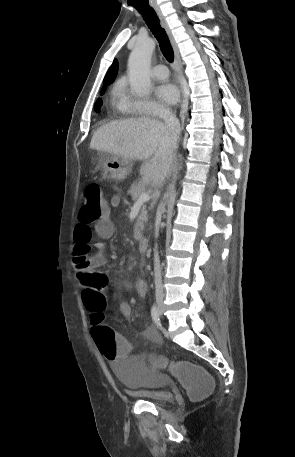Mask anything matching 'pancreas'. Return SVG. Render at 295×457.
Segmentation results:
<instances>
[{
    "instance_id": "pancreas-1",
    "label": "pancreas",
    "mask_w": 295,
    "mask_h": 457,
    "mask_svg": "<svg viewBox=\"0 0 295 457\" xmlns=\"http://www.w3.org/2000/svg\"><path fill=\"white\" fill-rule=\"evenodd\" d=\"M146 192L145 185L143 183H134L131 185L128 194L131 196L133 201L138 200L142 193ZM147 222V211L146 206H143L137 222L134 226V236L136 239H139L142 236V231L144 229L145 223Z\"/></svg>"
}]
</instances>
